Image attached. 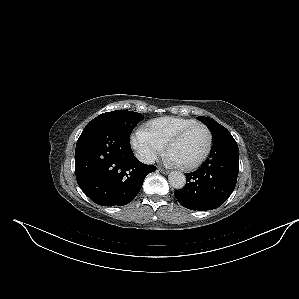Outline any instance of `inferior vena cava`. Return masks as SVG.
<instances>
[{"instance_id":"obj_1","label":"inferior vena cava","mask_w":299,"mask_h":299,"mask_svg":"<svg viewBox=\"0 0 299 299\" xmlns=\"http://www.w3.org/2000/svg\"><path fill=\"white\" fill-rule=\"evenodd\" d=\"M138 158L141 162H143L145 164H153L155 162L154 157L151 155L140 154V155H138Z\"/></svg>"}]
</instances>
